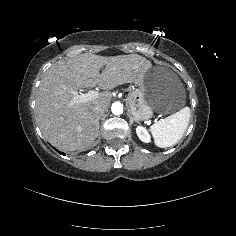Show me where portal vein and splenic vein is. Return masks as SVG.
<instances>
[{
	"instance_id": "1",
	"label": "portal vein and splenic vein",
	"mask_w": 236,
	"mask_h": 236,
	"mask_svg": "<svg viewBox=\"0 0 236 236\" xmlns=\"http://www.w3.org/2000/svg\"><path fill=\"white\" fill-rule=\"evenodd\" d=\"M70 93L73 95V99H74L75 103L88 102V101H91L99 96V92L94 91V90L89 91L88 93H84V94H78L77 91L71 90Z\"/></svg>"
}]
</instances>
